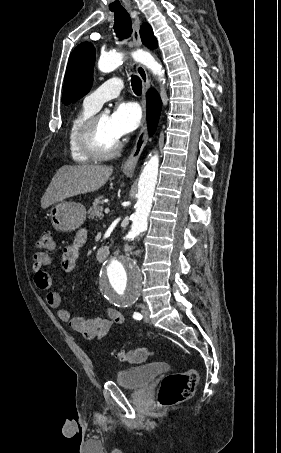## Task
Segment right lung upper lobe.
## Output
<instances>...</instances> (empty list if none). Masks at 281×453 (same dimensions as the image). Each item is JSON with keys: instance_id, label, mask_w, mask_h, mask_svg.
<instances>
[{"instance_id": "right-lung-upper-lobe-1", "label": "right lung upper lobe", "mask_w": 281, "mask_h": 453, "mask_svg": "<svg viewBox=\"0 0 281 453\" xmlns=\"http://www.w3.org/2000/svg\"><path fill=\"white\" fill-rule=\"evenodd\" d=\"M140 36L144 45L150 49H154L158 46L157 39L153 35L151 26L148 23H143L140 27Z\"/></svg>"}]
</instances>
